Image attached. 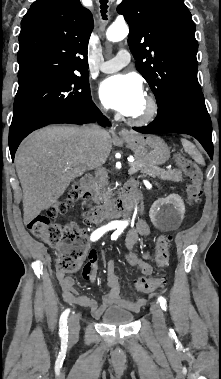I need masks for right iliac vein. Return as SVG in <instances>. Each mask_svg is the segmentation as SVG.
<instances>
[{
	"label": "right iliac vein",
	"mask_w": 221,
	"mask_h": 379,
	"mask_svg": "<svg viewBox=\"0 0 221 379\" xmlns=\"http://www.w3.org/2000/svg\"><path fill=\"white\" fill-rule=\"evenodd\" d=\"M79 317L77 315H72L69 319V336L74 339L79 333Z\"/></svg>",
	"instance_id": "1"
}]
</instances>
